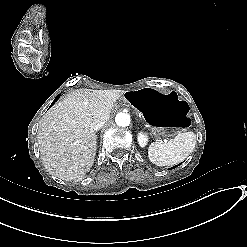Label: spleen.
<instances>
[{
  "instance_id": "3e777b00",
  "label": "spleen",
  "mask_w": 247,
  "mask_h": 247,
  "mask_svg": "<svg viewBox=\"0 0 247 247\" xmlns=\"http://www.w3.org/2000/svg\"><path fill=\"white\" fill-rule=\"evenodd\" d=\"M195 145V133H179L167 143H152L148 148V157L149 160L157 166L176 165L190 155L195 148Z\"/></svg>"
}]
</instances>
